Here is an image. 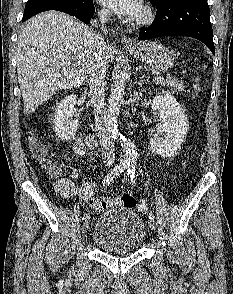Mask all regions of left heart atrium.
Here are the masks:
<instances>
[{
  "mask_svg": "<svg viewBox=\"0 0 233 294\" xmlns=\"http://www.w3.org/2000/svg\"><path fill=\"white\" fill-rule=\"evenodd\" d=\"M104 6L122 16L137 17L142 11V0H98Z\"/></svg>",
  "mask_w": 233,
  "mask_h": 294,
  "instance_id": "left-heart-atrium-1",
  "label": "left heart atrium"
}]
</instances>
